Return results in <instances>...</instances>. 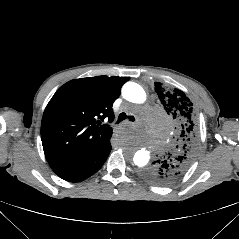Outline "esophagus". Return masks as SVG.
Segmentation results:
<instances>
[{
  "label": "esophagus",
  "mask_w": 239,
  "mask_h": 239,
  "mask_svg": "<svg viewBox=\"0 0 239 239\" xmlns=\"http://www.w3.org/2000/svg\"><path fill=\"white\" fill-rule=\"evenodd\" d=\"M112 136L114 138H120L122 136V131L120 130V128H118V127L113 128Z\"/></svg>",
  "instance_id": "34e87169"
}]
</instances>
